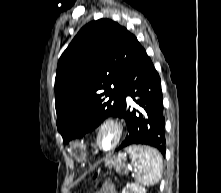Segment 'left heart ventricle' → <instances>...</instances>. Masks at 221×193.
<instances>
[{
	"instance_id": "b2bd125f",
	"label": "left heart ventricle",
	"mask_w": 221,
	"mask_h": 193,
	"mask_svg": "<svg viewBox=\"0 0 221 193\" xmlns=\"http://www.w3.org/2000/svg\"><path fill=\"white\" fill-rule=\"evenodd\" d=\"M115 134L111 129H105L101 135V145L108 148L114 141Z\"/></svg>"
}]
</instances>
